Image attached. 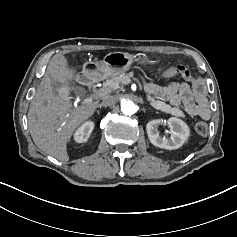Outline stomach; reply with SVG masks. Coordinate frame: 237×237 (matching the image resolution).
<instances>
[{
    "instance_id": "0dacf381",
    "label": "stomach",
    "mask_w": 237,
    "mask_h": 237,
    "mask_svg": "<svg viewBox=\"0 0 237 237\" xmlns=\"http://www.w3.org/2000/svg\"><path fill=\"white\" fill-rule=\"evenodd\" d=\"M136 60L144 64H154L156 61L144 56L142 59H134V57L124 52H111L105 55L99 63H94L98 72V79H106L116 76L127 71L132 62Z\"/></svg>"
}]
</instances>
